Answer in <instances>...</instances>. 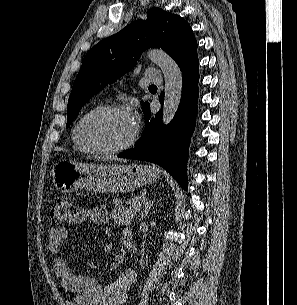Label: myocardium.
Instances as JSON below:
<instances>
[{
    "label": "myocardium",
    "instance_id": "myocardium-1",
    "mask_svg": "<svg viewBox=\"0 0 297 305\" xmlns=\"http://www.w3.org/2000/svg\"><path fill=\"white\" fill-rule=\"evenodd\" d=\"M101 113H117V114L127 115L131 118V120L133 122V130H132L130 137L127 139L126 142H124L123 144L116 146V147L104 148V147L93 146L84 139L83 134H82L83 124L92 116L101 114ZM138 133H139L138 125L132 119L129 111L118 105H102V106L93 108L92 110L85 113L79 119V121L77 122V124L75 126V136H76L78 144L87 152L95 153V154H102V155L118 154V153H121V152L129 149L130 147H132L135 144V142L138 138Z\"/></svg>",
    "mask_w": 297,
    "mask_h": 305
}]
</instances>
